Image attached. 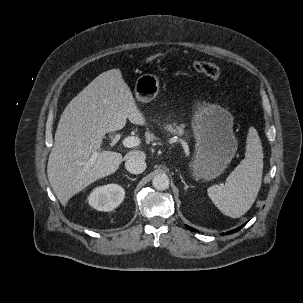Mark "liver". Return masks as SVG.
<instances>
[{
    "label": "liver",
    "mask_w": 303,
    "mask_h": 303,
    "mask_svg": "<svg viewBox=\"0 0 303 303\" xmlns=\"http://www.w3.org/2000/svg\"><path fill=\"white\" fill-rule=\"evenodd\" d=\"M126 119L146 124L119 69L101 73L66 106L47 165L48 180L63 206L91 183L116 172L123 160L145 158L139 150L124 157L118 152L100 151L105 134L121 130ZM95 152L98 156L90 162Z\"/></svg>",
    "instance_id": "liver-1"
}]
</instances>
